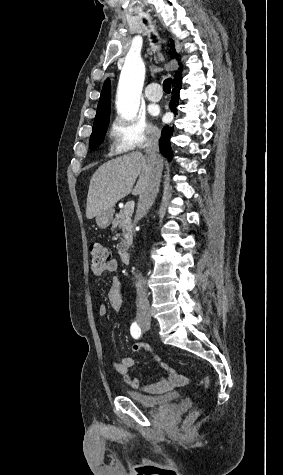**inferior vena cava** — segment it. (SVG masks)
<instances>
[{
  "mask_svg": "<svg viewBox=\"0 0 283 475\" xmlns=\"http://www.w3.org/2000/svg\"><path fill=\"white\" fill-rule=\"evenodd\" d=\"M159 134H154L152 140H150L145 152L146 160L148 162V168H146V174H148V184L145 186L144 194H140L137 214L143 216L149 208H151L160 186V178L162 176L163 160L159 156ZM146 281L142 273H138L136 287H137V301L136 307L138 313H148L150 311V303L147 297L145 289Z\"/></svg>",
  "mask_w": 283,
  "mask_h": 475,
  "instance_id": "obj_1",
  "label": "inferior vena cava"
}]
</instances>
